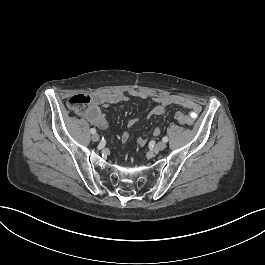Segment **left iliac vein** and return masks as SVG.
Instances as JSON below:
<instances>
[{"mask_svg":"<svg viewBox=\"0 0 265 265\" xmlns=\"http://www.w3.org/2000/svg\"><path fill=\"white\" fill-rule=\"evenodd\" d=\"M165 148H166V143H165L164 141H160V142L157 143V145H156V149L159 150V151H161V150H163V149H165Z\"/></svg>","mask_w":265,"mask_h":265,"instance_id":"left-iliac-vein-1","label":"left iliac vein"}]
</instances>
